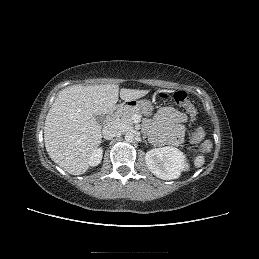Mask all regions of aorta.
<instances>
[{"instance_id":"obj_1","label":"aorta","mask_w":259,"mask_h":259,"mask_svg":"<svg viewBox=\"0 0 259 259\" xmlns=\"http://www.w3.org/2000/svg\"><path fill=\"white\" fill-rule=\"evenodd\" d=\"M134 139H135V136L132 132H128V133L125 134V141L126 142L131 143V142L134 141Z\"/></svg>"}]
</instances>
